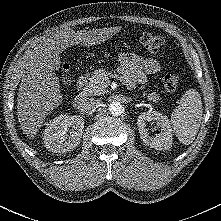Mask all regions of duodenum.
<instances>
[{"mask_svg": "<svg viewBox=\"0 0 221 221\" xmlns=\"http://www.w3.org/2000/svg\"><path fill=\"white\" fill-rule=\"evenodd\" d=\"M87 79H88V75L83 74L78 78V81H77V88H78L79 94L77 95L74 101V108L77 110L82 109L86 103V95L84 93V88H85Z\"/></svg>", "mask_w": 221, "mask_h": 221, "instance_id": "410a0bca", "label": "duodenum"}]
</instances>
